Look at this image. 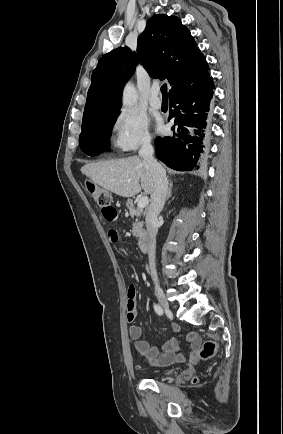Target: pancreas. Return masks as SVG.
Here are the masks:
<instances>
[{
  "instance_id": "cf45deb5",
  "label": "pancreas",
  "mask_w": 283,
  "mask_h": 434,
  "mask_svg": "<svg viewBox=\"0 0 283 434\" xmlns=\"http://www.w3.org/2000/svg\"><path fill=\"white\" fill-rule=\"evenodd\" d=\"M129 210L132 216L139 217L141 215V209L139 208L131 207ZM132 232L135 237H139V239H141L145 235V230L143 229V222L137 219L133 224Z\"/></svg>"
}]
</instances>
